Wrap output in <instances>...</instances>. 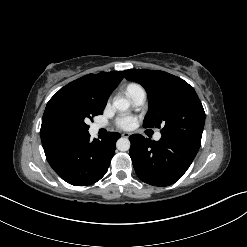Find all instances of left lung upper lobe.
I'll list each match as a JSON object with an SVG mask.
<instances>
[{"label":"left lung upper lobe","instance_id":"left-lung-upper-lobe-1","mask_svg":"<svg viewBox=\"0 0 247 247\" xmlns=\"http://www.w3.org/2000/svg\"><path fill=\"white\" fill-rule=\"evenodd\" d=\"M124 74L147 92L149 109L144 118L145 128L163 126V136L180 138L200 147L205 112L191 85L158 70L129 69Z\"/></svg>","mask_w":247,"mask_h":247}]
</instances>
